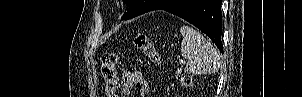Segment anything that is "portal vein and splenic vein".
<instances>
[{
  "label": "portal vein and splenic vein",
  "instance_id": "obj_1",
  "mask_svg": "<svg viewBox=\"0 0 302 97\" xmlns=\"http://www.w3.org/2000/svg\"><path fill=\"white\" fill-rule=\"evenodd\" d=\"M179 63H180V64H184L185 61H184L183 59H180V60H179Z\"/></svg>",
  "mask_w": 302,
  "mask_h": 97
}]
</instances>
